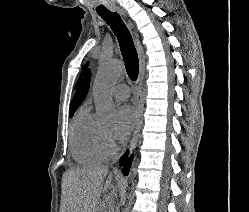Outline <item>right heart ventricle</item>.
Masks as SVG:
<instances>
[{"mask_svg":"<svg viewBox=\"0 0 249 212\" xmlns=\"http://www.w3.org/2000/svg\"><path fill=\"white\" fill-rule=\"evenodd\" d=\"M102 128L91 117L90 109L82 106L71 122L69 145L73 159L79 164H98L106 156L101 144Z\"/></svg>","mask_w":249,"mask_h":212,"instance_id":"right-heart-ventricle-1","label":"right heart ventricle"}]
</instances>
